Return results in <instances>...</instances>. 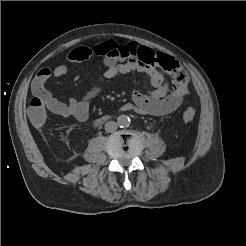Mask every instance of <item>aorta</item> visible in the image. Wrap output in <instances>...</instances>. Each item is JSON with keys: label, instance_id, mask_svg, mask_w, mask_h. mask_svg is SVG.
Here are the masks:
<instances>
[{"label": "aorta", "instance_id": "1", "mask_svg": "<svg viewBox=\"0 0 246 246\" xmlns=\"http://www.w3.org/2000/svg\"><path fill=\"white\" fill-rule=\"evenodd\" d=\"M117 124L120 127H128L130 125V118L126 115H120L117 118Z\"/></svg>", "mask_w": 246, "mask_h": 246}]
</instances>
